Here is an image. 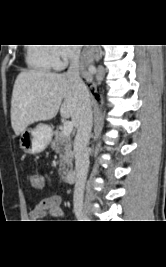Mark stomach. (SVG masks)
<instances>
[{
  "label": "stomach",
  "instance_id": "0dacf381",
  "mask_svg": "<svg viewBox=\"0 0 166 267\" xmlns=\"http://www.w3.org/2000/svg\"><path fill=\"white\" fill-rule=\"evenodd\" d=\"M52 138V128L42 124L34 129H26L20 136V147L27 154H38L44 151Z\"/></svg>",
  "mask_w": 166,
  "mask_h": 267
}]
</instances>
